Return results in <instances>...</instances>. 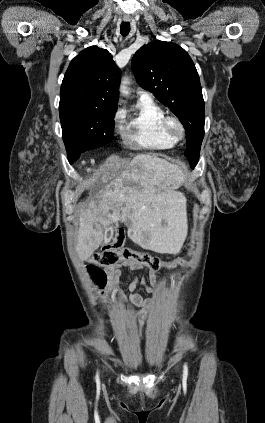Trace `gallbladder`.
Returning a JSON list of instances; mask_svg holds the SVG:
<instances>
[{
    "label": "gallbladder",
    "instance_id": "1",
    "mask_svg": "<svg viewBox=\"0 0 265 423\" xmlns=\"http://www.w3.org/2000/svg\"><path fill=\"white\" fill-rule=\"evenodd\" d=\"M114 228L115 226H111L106 230L105 242H109L112 239Z\"/></svg>",
    "mask_w": 265,
    "mask_h": 423
}]
</instances>
